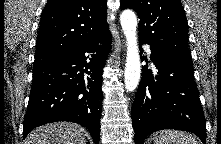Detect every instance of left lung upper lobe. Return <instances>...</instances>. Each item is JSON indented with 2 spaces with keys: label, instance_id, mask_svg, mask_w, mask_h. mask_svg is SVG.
I'll return each mask as SVG.
<instances>
[{
  "label": "left lung upper lobe",
  "instance_id": "left-lung-upper-lobe-1",
  "mask_svg": "<svg viewBox=\"0 0 221 144\" xmlns=\"http://www.w3.org/2000/svg\"><path fill=\"white\" fill-rule=\"evenodd\" d=\"M138 14L139 40L157 50L191 58L188 23L180 0H120Z\"/></svg>",
  "mask_w": 221,
  "mask_h": 144
}]
</instances>
